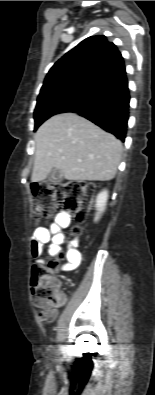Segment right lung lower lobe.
<instances>
[{
    "mask_svg": "<svg viewBox=\"0 0 155 395\" xmlns=\"http://www.w3.org/2000/svg\"><path fill=\"white\" fill-rule=\"evenodd\" d=\"M126 71L109 78L93 94L67 110L92 121L124 142L129 118Z\"/></svg>",
    "mask_w": 155,
    "mask_h": 395,
    "instance_id": "1",
    "label": "right lung lower lobe"
}]
</instances>
